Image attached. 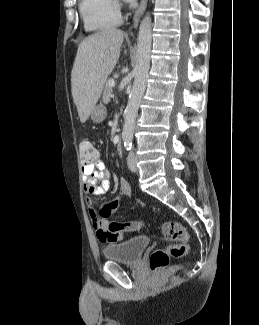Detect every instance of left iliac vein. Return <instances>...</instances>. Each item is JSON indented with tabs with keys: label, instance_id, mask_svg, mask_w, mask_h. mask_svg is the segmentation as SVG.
I'll use <instances>...</instances> for the list:
<instances>
[{
	"label": "left iliac vein",
	"instance_id": "4c4485c4",
	"mask_svg": "<svg viewBox=\"0 0 259 325\" xmlns=\"http://www.w3.org/2000/svg\"><path fill=\"white\" fill-rule=\"evenodd\" d=\"M127 164H128V168L132 171V172H136L137 171V167H136V159H135V155L133 152H130L127 158Z\"/></svg>",
	"mask_w": 259,
	"mask_h": 325
}]
</instances>
